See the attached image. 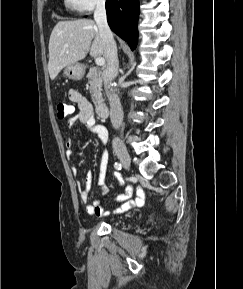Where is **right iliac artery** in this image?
<instances>
[{"label":"right iliac artery","mask_w":243,"mask_h":289,"mask_svg":"<svg viewBox=\"0 0 243 289\" xmlns=\"http://www.w3.org/2000/svg\"><path fill=\"white\" fill-rule=\"evenodd\" d=\"M114 167H115V169H117V170H121L122 165H121L120 163H118V162H115Z\"/></svg>","instance_id":"1"}]
</instances>
